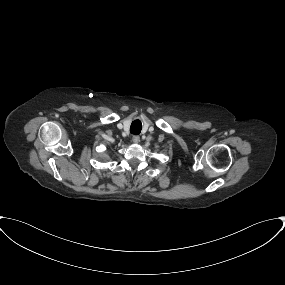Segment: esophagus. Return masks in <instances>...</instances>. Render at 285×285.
Instances as JSON below:
<instances>
[{"mask_svg": "<svg viewBox=\"0 0 285 285\" xmlns=\"http://www.w3.org/2000/svg\"><path fill=\"white\" fill-rule=\"evenodd\" d=\"M132 141L137 144L140 141V137L138 135L133 136Z\"/></svg>", "mask_w": 285, "mask_h": 285, "instance_id": "34e87169", "label": "esophagus"}]
</instances>
